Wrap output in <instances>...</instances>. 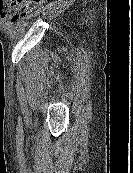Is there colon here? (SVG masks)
<instances>
[{"label": "colon", "instance_id": "obj_1", "mask_svg": "<svg viewBox=\"0 0 133 173\" xmlns=\"http://www.w3.org/2000/svg\"><path fill=\"white\" fill-rule=\"evenodd\" d=\"M42 0H0V18L12 23L28 14Z\"/></svg>", "mask_w": 133, "mask_h": 173}]
</instances>
